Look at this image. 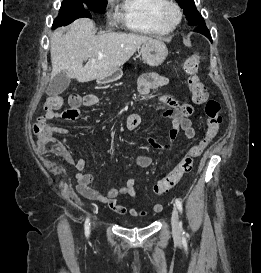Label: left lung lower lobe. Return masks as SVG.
I'll return each mask as SVG.
<instances>
[{
    "label": "left lung lower lobe",
    "mask_w": 261,
    "mask_h": 273,
    "mask_svg": "<svg viewBox=\"0 0 261 273\" xmlns=\"http://www.w3.org/2000/svg\"><path fill=\"white\" fill-rule=\"evenodd\" d=\"M195 31L205 35L207 38H209L211 40L210 32L207 29L205 24H201V25L196 26Z\"/></svg>",
    "instance_id": "0a47b994"
}]
</instances>
